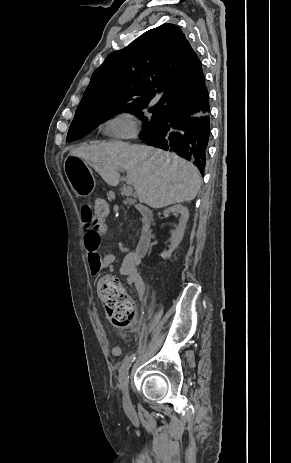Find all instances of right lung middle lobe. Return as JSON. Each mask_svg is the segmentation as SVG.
<instances>
[{
  "label": "right lung middle lobe",
  "mask_w": 291,
  "mask_h": 463,
  "mask_svg": "<svg viewBox=\"0 0 291 463\" xmlns=\"http://www.w3.org/2000/svg\"><path fill=\"white\" fill-rule=\"evenodd\" d=\"M145 107L146 105L135 101H119L97 104L86 109H78L70 125L67 141L80 139L107 118L121 112H130L142 119L143 131L140 134L142 135L158 126L164 117L163 112L153 108L149 109L152 115L144 116L142 110Z\"/></svg>",
  "instance_id": "dd1d6c3e"
}]
</instances>
